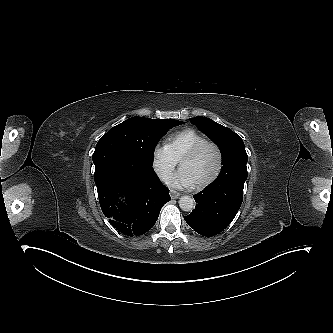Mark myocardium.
Instances as JSON below:
<instances>
[{
  "label": "myocardium",
  "instance_id": "1",
  "mask_svg": "<svg viewBox=\"0 0 333 333\" xmlns=\"http://www.w3.org/2000/svg\"><path fill=\"white\" fill-rule=\"evenodd\" d=\"M206 146H209L214 149L216 153V165L213 172L204 180L194 183L196 188H203L211 184L220 174L222 169L223 157L220 147L213 141L204 140L203 142L197 144L192 149H190L181 159L180 166L183 168L185 163L195 158L198 153Z\"/></svg>",
  "mask_w": 333,
  "mask_h": 333
}]
</instances>
